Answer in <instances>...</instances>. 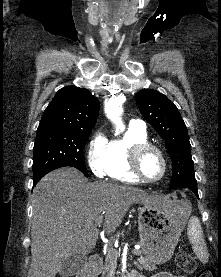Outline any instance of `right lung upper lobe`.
<instances>
[{
  "label": "right lung upper lobe",
  "instance_id": "1",
  "mask_svg": "<svg viewBox=\"0 0 221 277\" xmlns=\"http://www.w3.org/2000/svg\"><path fill=\"white\" fill-rule=\"evenodd\" d=\"M100 103L87 89L67 86L60 89L46 108L38 129H93Z\"/></svg>",
  "mask_w": 221,
  "mask_h": 277
}]
</instances>
